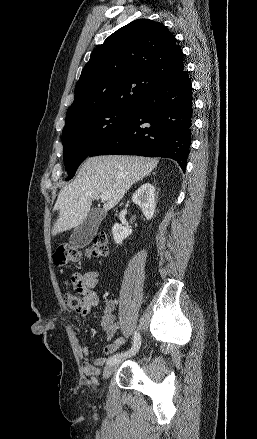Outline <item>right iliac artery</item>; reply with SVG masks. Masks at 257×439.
<instances>
[{
	"label": "right iliac artery",
	"mask_w": 257,
	"mask_h": 439,
	"mask_svg": "<svg viewBox=\"0 0 257 439\" xmlns=\"http://www.w3.org/2000/svg\"><path fill=\"white\" fill-rule=\"evenodd\" d=\"M140 346H141L140 334L135 332L132 347L128 351L117 353V354L109 357L107 360V364L116 363L120 360H123L127 357H130L131 355L136 354V352L139 350Z\"/></svg>",
	"instance_id": "obj_1"
}]
</instances>
